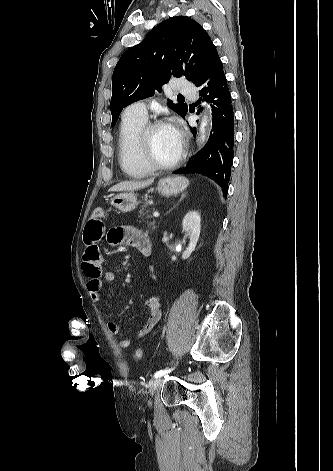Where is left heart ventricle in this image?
<instances>
[{"label": "left heart ventricle", "instance_id": "b2bd125f", "mask_svg": "<svg viewBox=\"0 0 333 471\" xmlns=\"http://www.w3.org/2000/svg\"><path fill=\"white\" fill-rule=\"evenodd\" d=\"M149 144L154 157L163 163L174 160L181 148V145L173 138L169 126H162L153 131Z\"/></svg>", "mask_w": 333, "mask_h": 471}]
</instances>
